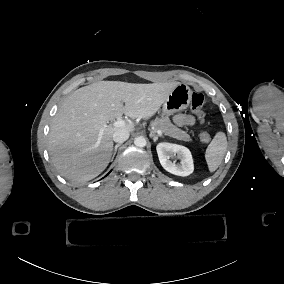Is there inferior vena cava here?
Segmentation results:
<instances>
[{
    "label": "inferior vena cava",
    "mask_w": 284,
    "mask_h": 284,
    "mask_svg": "<svg viewBox=\"0 0 284 284\" xmlns=\"http://www.w3.org/2000/svg\"><path fill=\"white\" fill-rule=\"evenodd\" d=\"M129 139V132L127 131H116L113 134V140L117 143H123Z\"/></svg>",
    "instance_id": "obj_1"
}]
</instances>
